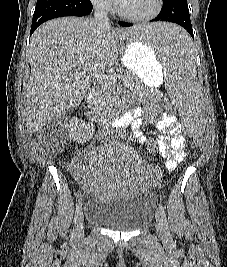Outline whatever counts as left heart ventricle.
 <instances>
[{"label":"left heart ventricle","instance_id":"obj_1","mask_svg":"<svg viewBox=\"0 0 227 267\" xmlns=\"http://www.w3.org/2000/svg\"><path fill=\"white\" fill-rule=\"evenodd\" d=\"M120 5L129 14L146 15L154 9L155 0H124Z\"/></svg>","mask_w":227,"mask_h":267}]
</instances>
